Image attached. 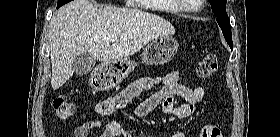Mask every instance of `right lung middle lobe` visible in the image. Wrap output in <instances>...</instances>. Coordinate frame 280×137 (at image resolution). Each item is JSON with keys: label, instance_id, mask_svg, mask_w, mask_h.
<instances>
[{"label": "right lung middle lobe", "instance_id": "right-lung-middle-lobe-1", "mask_svg": "<svg viewBox=\"0 0 280 137\" xmlns=\"http://www.w3.org/2000/svg\"><path fill=\"white\" fill-rule=\"evenodd\" d=\"M71 0H58L57 8L61 7L62 5L70 2Z\"/></svg>", "mask_w": 280, "mask_h": 137}]
</instances>
